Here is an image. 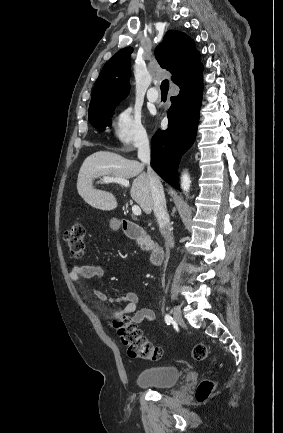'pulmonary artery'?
Here are the masks:
<instances>
[{"label":"pulmonary artery","instance_id":"1","mask_svg":"<svg viewBox=\"0 0 283 433\" xmlns=\"http://www.w3.org/2000/svg\"><path fill=\"white\" fill-rule=\"evenodd\" d=\"M147 98L151 102H158L161 99V96L157 94V91L154 88H151L147 93Z\"/></svg>","mask_w":283,"mask_h":433}]
</instances>
